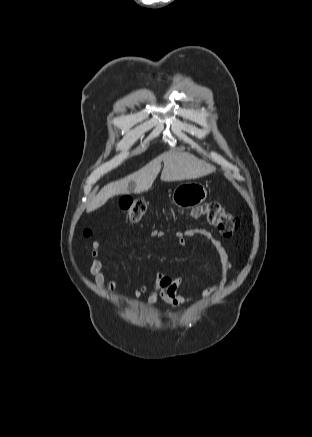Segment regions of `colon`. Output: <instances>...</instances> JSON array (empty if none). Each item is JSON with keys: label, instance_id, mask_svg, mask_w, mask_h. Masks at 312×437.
Returning <instances> with one entry per match:
<instances>
[{"label": "colon", "instance_id": "colon-1", "mask_svg": "<svg viewBox=\"0 0 312 437\" xmlns=\"http://www.w3.org/2000/svg\"><path fill=\"white\" fill-rule=\"evenodd\" d=\"M119 205L126 218L132 222L140 221L148 210L147 201L141 198L124 196L120 199ZM193 212L195 215L206 217L208 222L216 227L223 236L233 235L240 227L239 219L217 201L202 204ZM84 234L89 236L90 231H85Z\"/></svg>", "mask_w": 312, "mask_h": 437}]
</instances>
